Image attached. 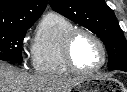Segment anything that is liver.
I'll return each mask as SVG.
<instances>
[{
  "label": "liver",
  "mask_w": 127,
  "mask_h": 92,
  "mask_svg": "<svg viewBox=\"0 0 127 92\" xmlns=\"http://www.w3.org/2000/svg\"><path fill=\"white\" fill-rule=\"evenodd\" d=\"M85 77L31 75L0 62V92H70Z\"/></svg>",
  "instance_id": "liver-1"
}]
</instances>
